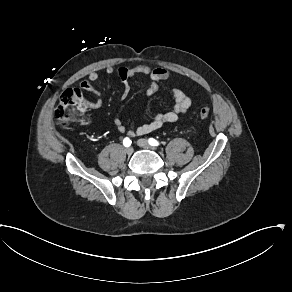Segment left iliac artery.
I'll use <instances>...</instances> for the list:
<instances>
[{
    "mask_svg": "<svg viewBox=\"0 0 292 292\" xmlns=\"http://www.w3.org/2000/svg\"><path fill=\"white\" fill-rule=\"evenodd\" d=\"M148 142L152 146H158L159 145V142L154 138H149Z\"/></svg>",
    "mask_w": 292,
    "mask_h": 292,
    "instance_id": "44dca946",
    "label": "left iliac artery"
}]
</instances>
